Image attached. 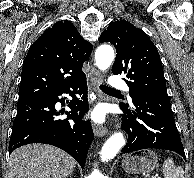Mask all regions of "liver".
Instances as JSON below:
<instances>
[{
  "label": "liver",
  "instance_id": "obj_1",
  "mask_svg": "<svg viewBox=\"0 0 194 178\" xmlns=\"http://www.w3.org/2000/svg\"><path fill=\"white\" fill-rule=\"evenodd\" d=\"M75 164V160L61 149L29 144L11 154L8 178H66Z\"/></svg>",
  "mask_w": 194,
  "mask_h": 178
}]
</instances>
